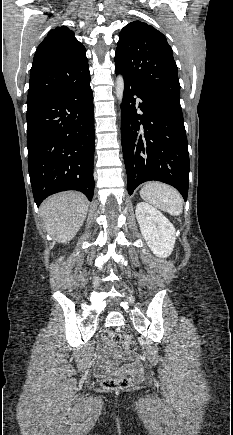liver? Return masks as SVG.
I'll return each instance as SVG.
<instances>
[{
  "label": "liver",
  "instance_id": "6515ba94",
  "mask_svg": "<svg viewBox=\"0 0 233 435\" xmlns=\"http://www.w3.org/2000/svg\"><path fill=\"white\" fill-rule=\"evenodd\" d=\"M88 205L87 198L80 192L50 196L40 206L47 232L59 243L69 242L81 228Z\"/></svg>",
  "mask_w": 233,
  "mask_h": 435
}]
</instances>
